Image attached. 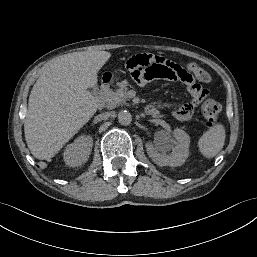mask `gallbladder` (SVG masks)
Wrapping results in <instances>:
<instances>
[{
    "instance_id": "bac80fb5",
    "label": "gallbladder",
    "mask_w": 257,
    "mask_h": 257,
    "mask_svg": "<svg viewBox=\"0 0 257 257\" xmlns=\"http://www.w3.org/2000/svg\"><path fill=\"white\" fill-rule=\"evenodd\" d=\"M90 92H91L92 95L98 96L99 88L97 86H95V87L91 88Z\"/></svg>"
}]
</instances>
